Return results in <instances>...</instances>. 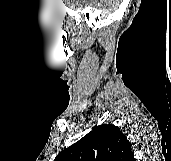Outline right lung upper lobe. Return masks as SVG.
<instances>
[{"instance_id": "right-lung-upper-lobe-1", "label": "right lung upper lobe", "mask_w": 171, "mask_h": 161, "mask_svg": "<svg viewBox=\"0 0 171 161\" xmlns=\"http://www.w3.org/2000/svg\"><path fill=\"white\" fill-rule=\"evenodd\" d=\"M54 161H135L131 143L117 126L102 124L61 151Z\"/></svg>"}]
</instances>
